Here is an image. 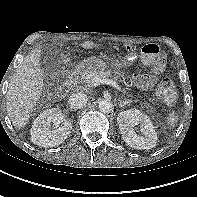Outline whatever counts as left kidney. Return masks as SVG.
<instances>
[{"label": "left kidney", "instance_id": "obj_1", "mask_svg": "<svg viewBox=\"0 0 197 197\" xmlns=\"http://www.w3.org/2000/svg\"><path fill=\"white\" fill-rule=\"evenodd\" d=\"M117 123L123 140L135 149H151L157 143L155 127L147 115L137 109H129L119 113ZM134 125H140L142 136L136 134Z\"/></svg>", "mask_w": 197, "mask_h": 197}]
</instances>
